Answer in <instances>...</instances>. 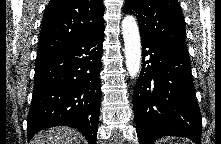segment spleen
Segmentation results:
<instances>
[{
	"label": "spleen",
	"instance_id": "spleen-1",
	"mask_svg": "<svg viewBox=\"0 0 221 144\" xmlns=\"http://www.w3.org/2000/svg\"><path fill=\"white\" fill-rule=\"evenodd\" d=\"M185 143H187V140H184V141H183V144H185Z\"/></svg>",
	"mask_w": 221,
	"mask_h": 144
}]
</instances>
